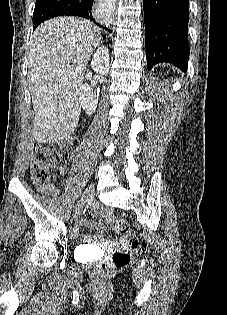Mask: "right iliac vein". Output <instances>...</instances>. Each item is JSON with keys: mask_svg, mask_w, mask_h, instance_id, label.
Wrapping results in <instances>:
<instances>
[{"mask_svg": "<svg viewBox=\"0 0 227 315\" xmlns=\"http://www.w3.org/2000/svg\"><path fill=\"white\" fill-rule=\"evenodd\" d=\"M95 192V188L94 185H89L88 188L85 190L84 195L82 196V198L79 200L76 210H75V214H80L81 211L84 208L85 203L90 200Z\"/></svg>", "mask_w": 227, "mask_h": 315, "instance_id": "right-iliac-vein-1", "label": "right iliac vein"}]
</instances>
